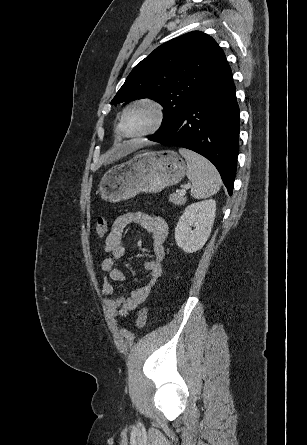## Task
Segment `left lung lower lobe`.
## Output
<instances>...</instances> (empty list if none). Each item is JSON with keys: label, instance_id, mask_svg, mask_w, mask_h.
Listing matches in <instances>:
<instances>
[{"label": "left lung lower lobe", "instance_id": "1", "mask_svg": "<svg viewBox=\"0 0 307 445\" xmlns=\"http://www.w3.org/2000/svg\"><path fill=\"white\" fill-rule=\"evenodd\" d=\"M231 70L166 130L148 139L193 150L218 169L232 195L239 152L240 118Z\"/></svg>", "mask_w": 307, "mask_h": 445}]
</instances>
